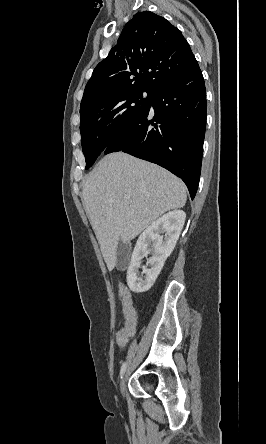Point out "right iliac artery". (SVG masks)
<instances>
[{
    "mask_svg": "<svg viewBox=\"0 0 266 444\" xmlns=\"http://www.w3.org/2000/svg\"><path fill=\"white\" fill-rule=\"evenodd\" d=\"M125 370H126V363H123V365L121 366V369H120V377L121 378H122V375L124 374Z\"/></svg>",
    "mask_w": 266,
    "mask_h": 444,
    "instance_id": "82829eb1",
    "label": "right iliac artery"
}]
</instances>
